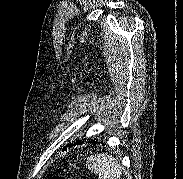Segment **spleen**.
Here are the masks:
<instances>
[{"instance_id":"obj_1","label":"spleen","mask_w":183,"mask_h":179,"mask_svg":"<svg viewBox=\"0 0 183 179\" xmlns=\"http://www.w3.org/2000/svg\"><path fill=\"white\" fill-rule=\"evenodd\" d=\"M86 166L98 174L99 179H121L123 168L116 158L108 154H96L87 158Z\"/></svg>"}]
</instances>
